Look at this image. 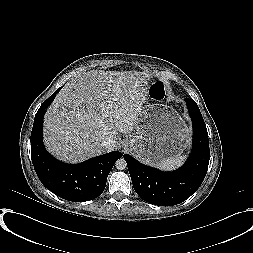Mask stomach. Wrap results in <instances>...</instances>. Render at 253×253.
Masks as SVG:
<instances>
[{"label":"stomach","instance_id":"obj_1","mask_svg":"<svg viewBox=\"0 0 253 253\" xmlns=\"http://www.w3.org/2000/svg\"><path fill=\"white\" fill-rule=\"evenodd\" d=\"M190 131L177 111L166 104L142 107L135 122V132L125 146L142 162L150 165L178 157L186 149Z\"/></svg>","mask_w":253,"mask_h":253}]
</instances>
